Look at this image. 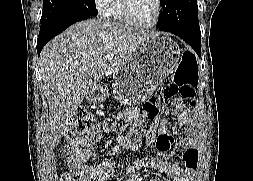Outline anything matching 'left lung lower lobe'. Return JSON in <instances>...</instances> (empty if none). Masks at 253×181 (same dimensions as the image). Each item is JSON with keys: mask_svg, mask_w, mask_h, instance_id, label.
Listing matches in <instances>:
<instances>
[{"mask_svg": "<svg viewBox=\"0 0 253 181\" xmlns=\"http://www.w3.org/2000/svg\"><path fill=\"white\" fill-rule=\"evenodd\" d=\"M162 31L173 33L185 40L200 56L201 52V31L200 27L164 26L158 27Z\"/></svg>", "mask_w": 253, "mask_h": 181, "instance_id": "obj_1", "label": "left lung lower lobe"}]
</instances>
